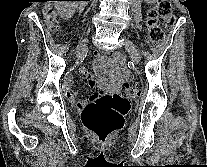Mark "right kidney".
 Returning <instances> with one entry per match:
<instances>
[{"instance_id": "right-kidney-1", "label": "right kidney", "mask_w": 207, "mask_h": 167, "mask_svg": "<svg viewBox=\"0 0 207 167\" xmlns=\"http://www.w3.org/2000/svg\"><path fill=\"white\" fill-rule=\"evenodd\" d=\"M55 6L61 17L67 20L73 16L76 9L71 2L66 1H55Z\"/></svg>"}]
</instances>
